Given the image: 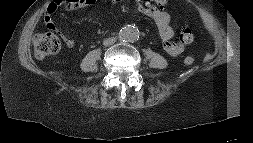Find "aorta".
Returning a JSON list of instances; mask_svg holds the SVG:
<instances>
[{"label":"aorta","mask_w":253,"mask_h":143,"mask_svg":"<svg viewBox=\"0 0 253 143\" xmlns=\"http://www.w3.org/2000/svg\"><path fill=\"white\" fill-rule=\"evenodd\" d=\"M140 35L139 29L134 25H127L119 32V39L123 42H135Z\"/></svg>","instance_id":"1"}]
</instances>
